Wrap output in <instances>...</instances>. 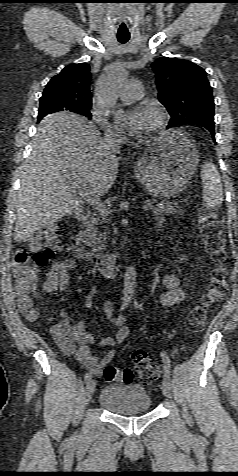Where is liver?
I'll list each match as a JSON object with an SVG mask.
<instances>
[{
    "label": "liver",
    "instance_id": "obj_1",
    "mask_svg": "<svg viewBox=\"0 0 238 476\" xmlns=\"http://www.w3.org/2000/svg\"><path fill=\"white\" fill-rule=\"evenodd\" d=\"M32 152L22 165L14 240L18 243L67 214L81 211L84 200L72 187L81 182L91 197L112 187L119 159L109 154L96 126L85 117L59 112L38 125Z\"/></svg>",
    "mask_w": 238,
    "mask_h": 476
}]
</instances>
